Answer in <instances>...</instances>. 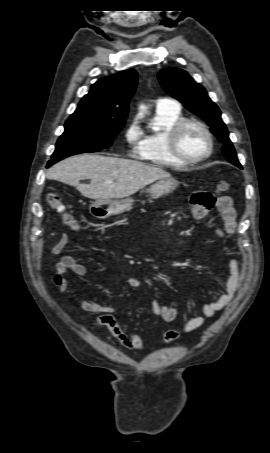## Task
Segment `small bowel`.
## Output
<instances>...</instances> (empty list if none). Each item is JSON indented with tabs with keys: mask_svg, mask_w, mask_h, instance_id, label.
<instances>
[{
	"mask_svg": "<svg viewBox=\"0 0 270 453\" xmlns=\"http://www.w3.org/2000/svg\"><path fill=\"white\" fill-rule=\"evenodd\" d=\"M193 214L195 218H203L208 213L203 205L195 201L192 197ZM217 211L220 213L223 226L216 227L215 233L220 238L233 236L236 233V212L232 205V200L229 196L219 197L215 202ZM69 242L68 234L64 233L56 244L52 247V253L56 256L61 255L66 245ZM229 277L225 281V292L216 300L206 302L202 305V316H197L190 319L181 329H172L165 333L164 343H171L178 338L181 333L194 331L205 324L212 318L217 311L228 306L237 292L242 278V261L237 257H232L229 260ZM56 274L59 277L57 286L60 291L65 292L68 288V282L64 275L68 270H71L76 276L83 277L86 275L84 265L76 261L69 254L62 255L59 262L56 264ZM131 288H140L142 281L140 278L131 277L127 281ZM79 307L86 313V318L97 327H106L118 340L120 345L131 351L142 352L145 350V345L139 333L127 327L121 319L120 314L115 313L114 307L102 304L92 300H81ZM150 312L161 317L166 322H173L180 310L169 304H160L158 301H152L149 306Z\"/></svg>",
	"mask_w": 270,
	"mask_h": 453,
	"instance_id": "small-bowel-1",
	"label": "small bowel"
}]
</instances>
